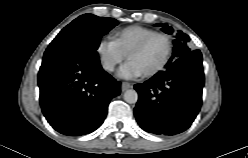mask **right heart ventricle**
<instances>
[{"label":"right heart ventricle","mask_w":248,"mask_h":158,"mask_svg":"<svg viewBox=\"0 0 248 158\" xmlns=\"http://www.w3.org/2000/svg\"><path fill=\"white\" fill-rule=\"evenodd\" d=\"M153 32L154 30L150 28L132 25L114 31L112 37L118 47L127 55L136 43Z\"/></svg>","instance_id":"right-heart-ventricle-1"}]
</instances>
